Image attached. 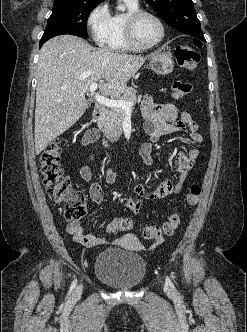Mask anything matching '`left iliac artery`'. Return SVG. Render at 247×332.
<instances>
[{
    "instance_id": "left-iliac-artery-1",
    "label": "left iliac artery",
    "mask_w": 247,
    "mask_h": 332,
    "mask_svg": "<svg viewBox=\"0 0 247 332\" xmlns=\"http://www.w3.org/2000/svg\"><path fill=\"white\" fill-rule=\"evenodd\" d=\"M166 282L174 289L175 287H174V285H173V283H172V281L170 280V278L167 276L166 277Z\"/></svg>"
}]
</instances>
